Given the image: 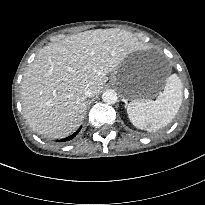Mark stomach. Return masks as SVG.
Here are the masks:
<instances>
[{"label":"stomach","mask_w":205,"mask_h":205,"mask_svg":"<svg viewBox=\"0 0 205 205\" xmlns=\"http://www.w3.org/2000/svg\"><path fill=\"white\" fill-rule=\"evenodd\" d=\"M111 82L119 88L124 98L143 101L160 92L164 81L149 83L144 79L142 67L130 59L124 61L111 75Z\"/></svg>","instance_id":"stomach-1"}]
</instances>
